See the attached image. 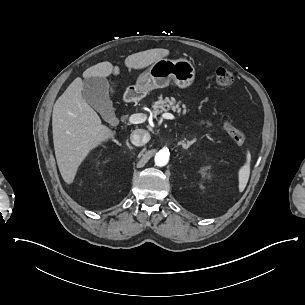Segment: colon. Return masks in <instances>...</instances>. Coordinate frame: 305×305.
I'll return each instance as SVG.
<instances>
[{"mask_svg":"<svg viewBox=\"0 0 305 305\" xmlns=\"http://www.w3.org/2000/svg\"><path fill=\"white\" fill-rule=\"evenodd\" d=\"M215 79L219 86L228 87L233 83V75L232 73L225 69L219 68L215 72ZM223 128L229 137L236 143H246L248 142V135L242 130L235 127L230 121H223Z\"/></svg>","mask_w":305,"mask_h":305,"instance_id":"1","label":"colon"}]
</instances>
